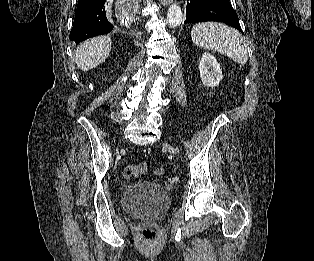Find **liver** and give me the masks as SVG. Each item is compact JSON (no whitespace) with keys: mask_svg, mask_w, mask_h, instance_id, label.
Returning a JSON list of instances; mask_svg holds the SVG:
<instances>
[{"mask_svg":"<svg viewBox=\"0 0 314 261\" xmlns=\"http://www.w3.org/2000/svg\"><path fill=\"white\" fill-rule=\"evenodd\" d=\"M111 45L109 36H99L84 41L76 51L77 67L83 71L97 67L109 56Z\"/></svg>","mask_w":314,"mask_h":261,"instance_id":"6515ba94","label":"liver"}]
</instances>
